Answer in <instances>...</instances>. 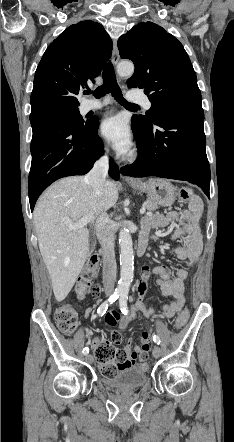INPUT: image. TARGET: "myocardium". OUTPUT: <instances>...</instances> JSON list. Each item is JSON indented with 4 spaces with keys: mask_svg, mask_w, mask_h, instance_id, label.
<instances>
[{
    "mask_svg": "<svg viewBox=\"0 0 234 442\" xmlns=\"http://www.w3.org/2000/svg\"><path fill=\"white\" fill-rule=\"evenodd\" d=\"M134 158H135L134 156H131V157L129 158V161H132Z\"/></svg>",
    "mask_w": 234,
    "mask_h": 442,
    "instance_id": "myocardium-1",
    "label": "myocardium"
}]
</instances>
